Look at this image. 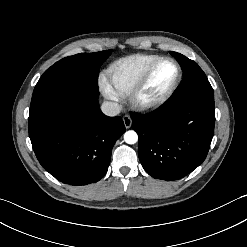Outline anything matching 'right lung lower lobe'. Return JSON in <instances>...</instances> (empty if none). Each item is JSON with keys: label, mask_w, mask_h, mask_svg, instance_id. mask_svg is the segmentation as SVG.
<instances>
[{"label": "right lung lower lobe", "mask_w": 247, "mask_h": 247, "mask_svg": "<svg viewBox=\"0 0 247 247\" xmlns=\"http://www.w3.org/2000/svg\"><path fill=\"white\" fill-rule=\"evenodd\" d=\"M29 137L42 167L66 184L87 185L107 172L113 145L125 132L121 117H108L98 97L69 92L30 111Z\"/></svg>", "instance_id": "1"}]
</instances>
